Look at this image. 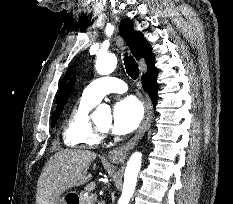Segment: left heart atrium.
<instances>
[{
	"label": "left heart atrium",
	"instance_id": "obj_1",
	"mask_svg": "<svg viewBox=\"0 0 233 204\" xmlns=\"http://www.w3.org/2000/svg\"><path fill=\"white\" fill-rule=\"evenodd\" d=\"M143 118V107L140 101L129 96L117 101L113 107L111 131L124 135L134 131Z\"/></svg>",
	"mask_w": 233,
	"mask_h": 204
}]
</instances>
